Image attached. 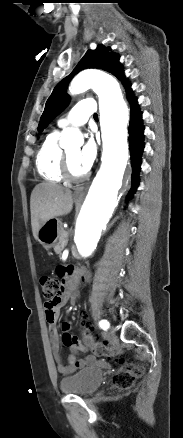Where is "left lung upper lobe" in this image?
Wrapping results in <instances>:
<instances>
[{
    "label": "left lung upper lobe",
    "mask_w": 183,
    "mask_h": 438,
    "mask_svg": "<svg viewBox=\"0 0 183 438\" xmlns=\"http://www.w3.org/2000/svg\"><path fill=\"white\" fill-rule=\"evenodd\" d=\"M109 50L111 49L106 48L103 45H98L95 50L87 51L72 73L62 79L56 85L51 96L46 102L44 112L39 122L38 131H43L48 124L69 104L70 99L65 93L67 85L70 80L81 70L87 68H97L110 72L118 78H123L122 73H120L121 64L119 63V57L117 54L109 52ZM124 84H127L125 80Z\"/></svg>",
    "instance_id": "1"
}]
</instances>
